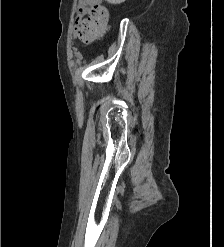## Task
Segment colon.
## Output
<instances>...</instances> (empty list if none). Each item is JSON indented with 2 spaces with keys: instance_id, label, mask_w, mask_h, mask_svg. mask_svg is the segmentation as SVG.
<instances>
[{
  "instance_id": "obj_1",
  "label": "colon",
  "mask_w": 224,
  "mask_h": 247,
  "mask_svg": "<svg viewBox=\"0 0 224 247\" xmlns=\"http://www.w3.org/2000/svg\"><path fill=\"white\" fill-rule=\"evenodd\" d=\"M109 13L103 6L93 7L82 24L80 37L85 42H92L108 28Z\"/></svg>"
}]
</instances>
